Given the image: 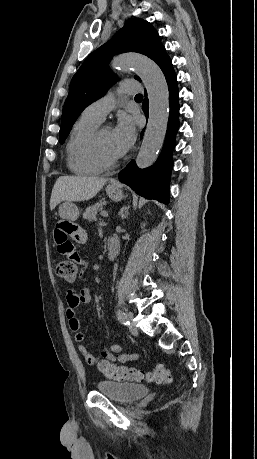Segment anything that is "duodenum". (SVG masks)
I'll return each instance as SVG.
<instances>
[{
  "label": "duodenum",
  "mask_w": 257,
  "mask_h": 459,
  "mask_svg": "<svg viewBox=\"0 0 257 459\" xmlns=\"http://www.w3.org/2000/svg\"><path fill=\"white\" fill-rule=\"evenodd\" d=\"M119 253V242L115 237H110L107 241V256L110 260H114Z\"/></svg>",
  "instance_id": "duodenum-1"
}]
</instances>
